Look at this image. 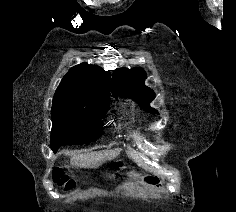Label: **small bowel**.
Returning <instances> with one entry per match:
<instances>
[{
  "label": "small bowel",
  "mask_w": 236,
  "mask_h": 212,
  "mask_svg": "<svg viewBox=\"0 0 236 212\" xmlns=\"http://www.w3.org/2000/svg\"><path fill=\"white\" fill-rule=\"evenodd\" d=\"M139 179H142V176H139ZM120 180H128V175H120ZM146 182L151 185L157 184L153 179H147Z\"/></svg>",
  "instance_id": "small-bowel-1"
}]
</instances>
